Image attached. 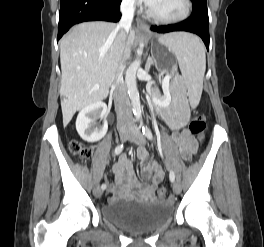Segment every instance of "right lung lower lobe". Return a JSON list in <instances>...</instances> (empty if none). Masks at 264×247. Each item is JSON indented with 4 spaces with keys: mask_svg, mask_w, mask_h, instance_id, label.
<instances>
[{
    "mask_svg": "<svg viewBox=\"0 0 264 247\" xmlns=\"http://www.w3.org/2000/svg\"><path fill=\"white\" fill-rule=\"evenodd\" d=\"M122 0H60L58 40L71 26L86 21L117 22Z\"/></svg>",
    "mask_w": 264,
    "mask_h": 247,
    "instance_id": "obj_1",
    "label": "right lung lower lobe"
}]
</instances>
